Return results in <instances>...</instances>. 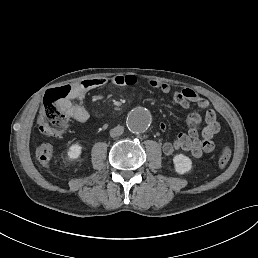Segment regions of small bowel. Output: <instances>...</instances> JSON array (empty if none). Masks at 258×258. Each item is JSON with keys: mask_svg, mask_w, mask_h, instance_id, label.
<instances>
[{"mask_svg": "<svg viewBox=\"0 0 258 258\" xmlns=\"http://www.w3.org/2000/svg\"><path fill=\"white\" fill-rule=\"evenodd\" d=\"M109 82L116 86H135L139 80L135 75H116L110 80L105 77H97L73 84L72 94L62 106L66 115L79 122H86L89 119V113L82 105L86 93L102 88ZM148 84L164 93L170 91V86L161 81L149 80ZM73 100H78V102L75 103ZM174 101L183 108H189L192 104H195L198 108L206 110L205 126L200 133L202 117L196 112L190 113L186 118L187 132L179 134L172 142H165L162 146L164 154L170 156L182 150L189 152L195 158H199L204 153L212 152L215 149L214 137L220 130V124L215 112L210 109L209 102L189 88L176 91ZM161 128L165 129V124L162 123ZM52 156L53 147L49 143H42L36 149L37 160L44 167L49 166Z\"/></svg>", "mask_w": 258, "mask_h": 258, "instance_id": "obj_1", "label": "small bowel"}]
</instances>
